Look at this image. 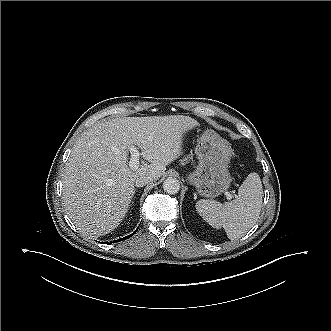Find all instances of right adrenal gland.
Returning a JSON list of instances; mask_svg holds the SVG:
<instances>
[{
    "label": "right adrenal gland",
    "instance_id": "2a0ac1e0",
    "mask_svg": "<svg viewBox=\"0 0 331 331\" xmlns=\"http://www.w3.org/2000/svg\"><path fill=\"white\" fill-rule=\"evenodd\" d=\"M134 193H135V191H134ZM133 202H134V201H132L131 203L133 204ZM132 204H131V205H132Z\"/></svg>",
    "mask_w": 331,
    "mask_h": 331
}]
</instances>
